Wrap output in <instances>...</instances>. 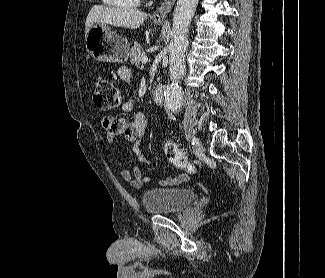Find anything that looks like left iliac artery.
I'll return each mask as SVG.
<instances>
[{"label": "left iliac artery", "mask_w": 325, "mask_h": 278, "mask_svg": "<svg viewBox=\"0 0 325 278\" xmlns=\"http://www.w3.org/2000/svg\"><path fill=\"white\" fill-rule=\"evenodd\" d=\"M198 139L197 138H192L191 142H192V145H194L195 143H197Z\"/></svg>", "instance_id": "44dca946"}]
</instances>
